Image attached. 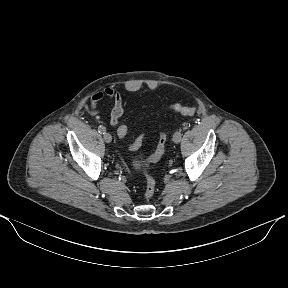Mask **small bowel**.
<instances>
[{
	"instance_id": "1",
	"label": "small bowel",
	"mask_w": 288,
	"mask_h": 288,
	"mask_svg": "<svg viewBox=\"0 0 288 288\" xmlns=\"http://www.w3.org/2000/svg\"><path fill=\"white\" fill-rule=\"evenodd\" d=\"M104 97L109 98L112 102L110 123L112 126H117L124 112V101L122 94L114 87H106L103 91L95 92L91 96L89 105H86V109L94 115L98 114L99 108L97 105ZM122 125L123 124L118 125L117 133L119 137H121L119 129Z\"/></svg>"
}]
</instances>
